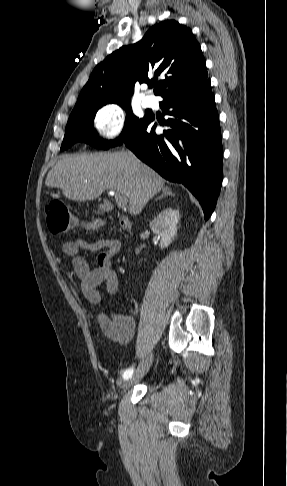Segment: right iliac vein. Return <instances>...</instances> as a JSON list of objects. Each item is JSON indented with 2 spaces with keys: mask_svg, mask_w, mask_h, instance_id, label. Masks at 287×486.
I'll list each match as a JSON object with an SVG mask.
<instances>
[{
  "mask_svg": "<svg viewBox=\"0 0 287 486\" xmlns=\"http://www.w3.org/2000/svg\"><path fill=\"white\" fill-rule=\"evenodd\" d=\"M153 359V354L148 353L145 355V357L142 359L140 362V365L138 366L136 372L134 373L133 376H131L129 379L124 381L122 388L123 389H128L132 385H134L136 382H138L148 371Z\"/></svg>",
  "mask_w": 287,
  "mask_h": 486,
  "instance_id": "63e3f726",
  "label": "right iliac vein"
}]
</instances>
